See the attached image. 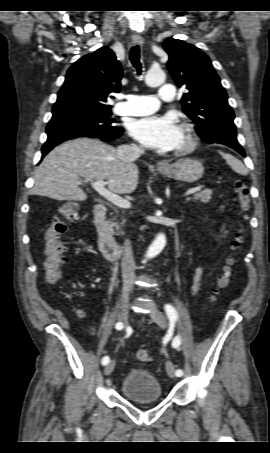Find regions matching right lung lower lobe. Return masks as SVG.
I'll list each match as a JSON object with an SVG mask.
<instances>
[{"label": "right lung lower lobe", "instance_id": "obj_1", "mask_svg": "<svg viewBox=\"0 0 270 453\" xmlns=\"http://www.w3.org/2000/svg\"><path fill=\"white\" fill-rule=\"evenodd\" d=\"M48 139L42 147V158L56 145L78 137L99 138L109 142L121 136L123 130L119 127L113 129H96L86 126L71 124L48 125L46 128Z\"/></svg>", "mask_w": 270, "mask_h": 453}]
</instances>
